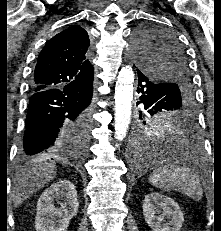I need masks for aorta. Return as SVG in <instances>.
Here are the masks:
<instances>
[{
    "mask_svg": "<svg viewBox=\"0 0 221 231\" xmlns=\"http://www.w3.org/2000/svg\"><path fill=\"white\" fill-rule=\"evenodd\" d=\"M134 72L131 67H123L117 77L115 86V139L122 141L127 134L131 121V106L133 100ZM147 136H143L146 142Z\"/></svg>",
    "mask_w": 221,
    "mask_h": 231,
    "instance_id": "762f6f07",
    "label": "aorta"
}]
</instances>
